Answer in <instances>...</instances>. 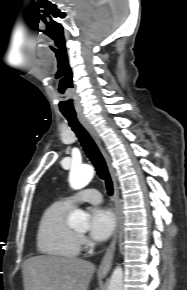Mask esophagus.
Here are the masks:
<instances>
[{"label": "esophagus", "mask_w": 187, "mask_h": 290, "mask_svg": "<svg viewBox=\"0 0 187 290\" xmlns=\"http://www.w3.org/2000/svg\"><path fill=\"white\" fill-rule=\"evenodd\" d=\"M77 117H78V120L80 121V123L88 131V133L91 135V137L94 139V141L96 142V144L100 148V150H101V152H102V154L107 162L109 172H110L112 182H113V189H114L113 201L115 204L116 228H115L113 239H112L109 247L107 248V251H106V253L102 259V262L99 266V269H98L99 274L106 275L109 272L111 265H112V260H113V256H114V252H115V248H116V243H117V238H118V233H119V226H120V207H119V193H118L117 177H116V172L112 166L111 159H110L109 155L107 154V152L105 151V149L101 143L100 137H99L97 131L95 130V128L93 127V125L89 122V120L86 118V116L84 114L78 113Z\"/></svg>", "instance_id": "obj_1"}]
</instances>
